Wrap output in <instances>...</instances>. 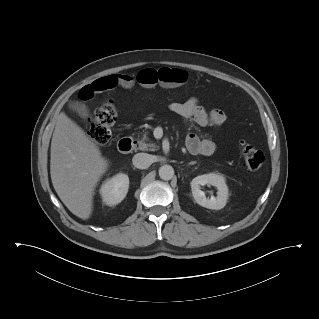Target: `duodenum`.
<instances>
[{
  "label": "duodenum",
  "instance_id": "obj_1",
  "mask_svg": "<svg viewBox=\"0 0 319 319\" xmlns=\"http://www.w3.org/2000/svg\"><path fill=\"white\" fill-rule=\"evenodd\" d=\"M134 146H135L134 140H132L130 138H123L118 143V150L121 153H127V152L131 151Z\"/></svg>",
  "mask_w": 319,
  "mask_h": 319
}]
</instances>
